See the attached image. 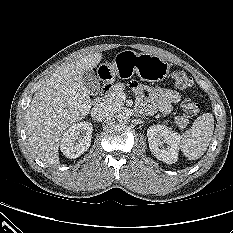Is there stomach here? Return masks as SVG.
<instances>
[{"instance_id": "stomach-1", "label": "stomach", "mask_w": 233, "mask_h": 233, "mask_svg": "<svg viewBox=\"0 0 233 233\" xmlns=\"http://www.w3.org/2000/svg\"><path fill=\"white\" fill-rule=\"evenodd\" d=\"M113 74L127 71L136 73L143 81L158 82L169 74L170 64L157 55L149 53H136L132 50L119 52L112 64H106Z\"/></svg>"}]
</instances>
